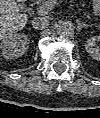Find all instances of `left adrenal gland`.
<instances>
[{
	"label": "left adrenal gland",
	"mask_w": 100,
	"mask_h": 118,
	"mask_svg": "<svg viewBox=\"0 0 100 118\" xmlns=\"http://www.w3.org/2000/svg\"><path fill=\"white\" fill-rule=\"evenodd\" d=\"M77 31L80 32L82 30V28H87L89 25L84 23V22H80V21H77Z\"/></svg>",
	"instance_id": "1"
}]
</instances>
